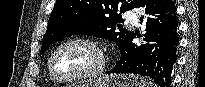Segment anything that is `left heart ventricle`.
Here are the masks:
<instances>
[{
	"instance_id": "b2bd125f",
	"label": "left heart ventricle",
	"mask_w": 205,
	"mask_h": 87,
	"mask_svg": "<svg viewBox=\"0 0 205 87\" xmlns=\"http://www.w3.org/2000/svg\"><path fill=\"white\" fill-rule=\"evenodd\" d=\"M97 61V53L88 45L71 44L57 53L54 69L60 76H74L93 69Z\"/></svg>"
}]
</instances>
